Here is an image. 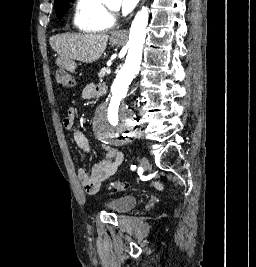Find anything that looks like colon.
Here are the masks:
<instances>
[{
	"label": "colon",
	"mask_w": 256,
	"mask_h": 267,
	"mask_svg": "<svg viewBox=\"0 0 256 267\" xmlns=\"http://www.w3.org/2000/svg\"><path fill=\"white\" fill-rule=\"evenodd\" d=\"M55 80L60 88H70L74 84L71 74L64 73V71H56ZM151 186L157 191H162L164 189L163 185L159 181H153ZM110 189L115 192H125L129 189V185L122 182H112L110 184Z\"/></svg>",
	"instance_id": "colon-1"
}]
</instances>
